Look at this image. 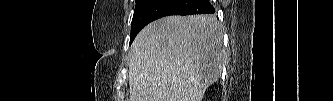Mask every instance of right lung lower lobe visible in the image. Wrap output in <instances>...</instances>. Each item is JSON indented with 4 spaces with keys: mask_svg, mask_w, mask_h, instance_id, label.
Listing matches in <instances>:
<instances>
[{
    "mask_svg": "<svg viewBox=\"0 0 333 101\" xmlns=\"http://www.w3.org/2000/svg\"><path fill=\"white\" fill-rule=\"evenodd\" d=\"M209 0H145L134 13L131 25V41L148 23L168 15L214 13Z\"/></svg>",
    "mask_w": 333,
    "mask_h": 101,
    "instance_id": "right-lung-lower-lobe-1",
    "label": "right lung lower lobe"
}]
</instances>
